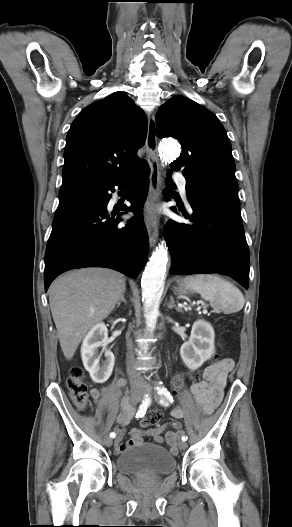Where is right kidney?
<instances>
[{
	"mask_svg": "<svg viewBox=\"0 0 292 527\" xmlns=\"http://www.w3.org/2000/svg\"><path fill=\"white\" fill-rule=\"evenodd\" d=\"M107 339V327L104 323H98L85 336L81 346V357L84 367L96 383L107 381L114 367V354L105 348ZM99 347H103L106 358L101 364L100 356H97Z\"/></svg>",
	"mask_w": 292,
	"mask_h": 527,
	"instance_id": "ca27d5eb",
	"label": "right kidney"
}]
</instances>
